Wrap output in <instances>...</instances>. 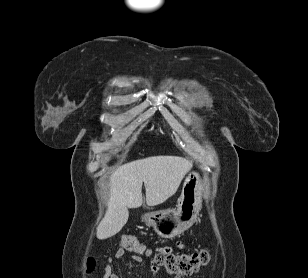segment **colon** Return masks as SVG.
I'll list each match as a JSON object with an SVG mask.
<instances>
[{
  "instance_id": "obj_1",
  "label": "colon",
  "mask_w": 308,
  "mask_h": 278,
  "mask_svg": "<svg viewBox=\"0 0 308 278\" xmlns=\"http://www.w3.org/2000/svg\"><path fill=\"white\" fill-rule=\"evenodd\" d=\"M121 246L137 255H146L152 257V263L156 268H164L170 274L179 276L190 275L197 272L200 268L205 266L209 260L210 255L207 252L194 253H163L152 252L147 249L135 236L124 235L120 240ZM95 267V260L88 257L86 261V269L88 272L93 271Z\"/></svg>"
}]
</instances>
